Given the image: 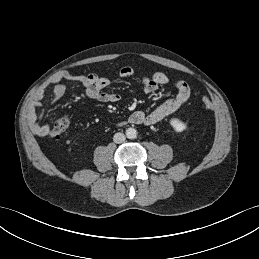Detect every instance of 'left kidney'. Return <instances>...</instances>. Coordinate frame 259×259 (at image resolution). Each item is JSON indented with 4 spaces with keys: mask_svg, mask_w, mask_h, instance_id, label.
Wrapping results in <instances>:
<instances>
[{
    "mask_svg": "<svg viewBox=\"0 0 259 259\" xmlns=\"http://www.w3.org/2000/svg\"><path fill=\"white\" fill-rule=\"evenodd\" d=\"M171 126L173 127V129L178 132L181 133L184 130H186L187 126L185 123H183L182 121H180L179 119H171L170 121Z\"/></svg>",
    "mask_w": 259,
    "mask_h": 259,
    "instance_id": "left-kidney-1",
    "label": "left kidney"
}]
</instances>
